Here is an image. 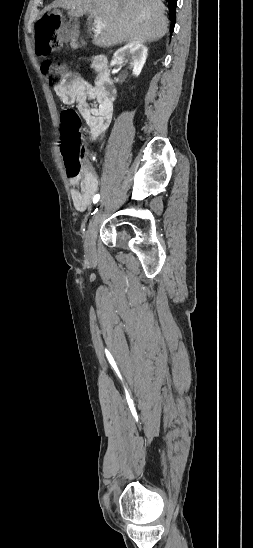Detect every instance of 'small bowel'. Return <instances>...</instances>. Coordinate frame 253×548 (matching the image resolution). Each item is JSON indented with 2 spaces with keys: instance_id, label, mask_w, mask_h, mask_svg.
<instances>
[{
  "instance_id": "c3829d8e",
  "label": "small bowel",
  "mask_w": 253,
  "mask_h": 548,
  "mask_svg": "<svg viewBox=\"0 0 253 548\" xmlns=\"http://www.w3.org/2000/svg\"><path fill=\"white\" fill-rule=\"evenodd\" d=\"M54 92L63 105L76 104L86 121L89 142H94L108 128L113 116V101L104 97L79 73H66L61 83L54 87ZM69 182L74 208L80 212L89 210L99 189V180L88 158H83L81 172L69 176Z\"/></svg>"
}]
</instances>
